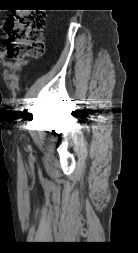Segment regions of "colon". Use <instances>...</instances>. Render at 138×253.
I'll return each mask as SVG.
<instances>
[{
	"mask_svg": "<svg viewBox=\"0 0 138 253\" xmlns=\"http://www.w3.org/2000/svg\"><path fill=\"white\" fill-rule=\"evenodd\" d=\"M45 26L46 16L42 12L23 11L9 17L4 25L7 54L17 59L42 55Z\"/></svg>",
	"mask_w": 138,
	"mask_h": 253,
	"instance_id": "colon-1",
	"label": "colon"
}]
</instances>
